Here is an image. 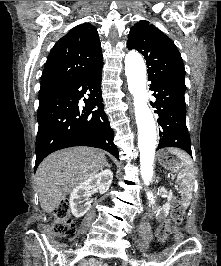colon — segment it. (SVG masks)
<instances>
[{
	"label": "colon",
	"mask_w": 221,
	"mask_h": 266,
	"mask_svg": "<svg viewBox=\"0 0 221 266\" xmlns=\"http://www.w3.org/2000/svg\"><path fill=\"white\" fill-rule=\"evenodd\" d=\"M185 210L179 201H174L170 218L161 224L156 235L159 241L164 242L172 232V229L180 225L184 219ZM43 230H50L56 236H70L75 233L76 226L70 215V207L68 201H61L54 210V221L50 228L41 227ZM176 238L182 239V234L176 232Z\"/></svg>",
	"instance_id": "1"
}]
</instances>
